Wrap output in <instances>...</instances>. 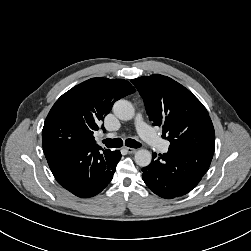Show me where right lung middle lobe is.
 <instances>
[{
	"instance_id": "right-lung-middle-lobe-1",
	"label": "right lung middle lobe",
	"mask_w": 251,
	"mask_h": 251,
	"mask_svg": "<svg viewBox=\"0 0 251 251\" xmlns=\"http://www.w3.org/2000/svg\"><path fill=\"white\" fill-rule=\"evenodd\" d=\"M43 147H82L83 140L78 128L65 119H52L44 125Z\"/></svg>"
}]
</instances>
